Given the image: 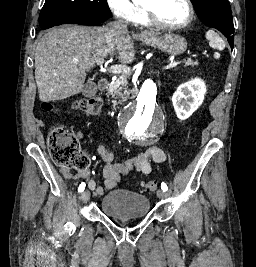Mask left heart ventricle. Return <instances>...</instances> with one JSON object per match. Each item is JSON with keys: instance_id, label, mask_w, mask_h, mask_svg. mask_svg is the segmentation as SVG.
Masks as SVG:
<instances>
[{"instance_id": "left-heart-ventricle-1", "label": "left heart ventricle", "mask_w": 256, "mask_h": 267, "mask_svg": "<svg viewBox=\"0 0 256 267\" xmlns=\"http://www.w3.org/2000/svg\"><path fill=\"white\" fill-rule=\"evenodd\" d=\"M149 4L152 10V23L155 26L180 24L188 15L185 5L176 0H163Z\"/></svg>"}]
</instances>
